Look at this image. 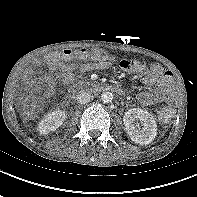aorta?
<instances>
[{"instance_id": "1", "label": "aorta", "mask_w": 197, "mask_h": 197, "mask_svg": "<svg viewBox=\"0 0 197 197\" xmlns=\"http://www.w3.org/2000/svg\"><path fill=\"white\" fill-rule=\"evenodd\" d=\"M101 99L104 103H109L113 100V94L111 92H104L101 95Z\"/></svg>"}]
</instances>
